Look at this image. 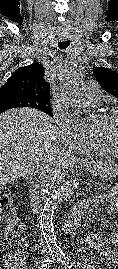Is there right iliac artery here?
Returning a JSON list of instances; mask_svg holds the SVG:
<instances>
[{"label":"right iliac artery","instance_id":"right-iliac-artery-1","mask_svg":"<svg viewBox=\"0 0 118 269\" xmlns=\"http://www.w3.org/2000/svg\"><path fill=\"white\" fill-rule=\"evenodd\" d=\"M54 260H56L55 257H52L51 259H46L42 262H39L38 269H49L53 264Z\"/></svg>","mask_w":118,"mask_h":269}]
</instances>
